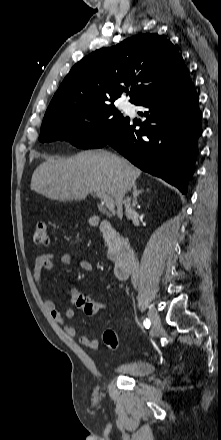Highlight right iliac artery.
Listing matches in <instances>:
<instances>
[{"mask_svg":"<svg viewBox=\"0 0 221 440\" xmlns=\"http://www.w3.org/2000/svg\"><path fill=\"white\" fill-rule=\"evenodd\" d=\"M143 325H144L146 328H149V327H150V320H148V319L144 320Z\"/></svg>","mask_w":221,"mask_h":440,"instance_id":"obj_1","label":"right iliac artery"}]
</instances>
